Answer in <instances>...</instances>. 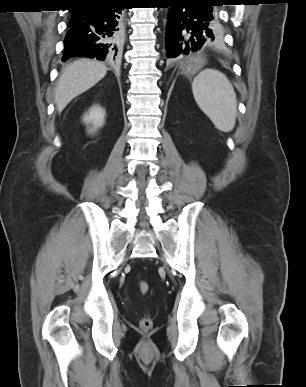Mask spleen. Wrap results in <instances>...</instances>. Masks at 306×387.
Instances as JSON below:
<instances>
[{"mask_svg":"<svg viewBox=\"0 0 306 387\" xmlns=\"http://www.w3.org/2000/svg\"><path fill=\"white\" fill-rule=\"evenodd\" d=\"M196 103L222 132L233 130L237 116V99L227 77L214 69H204L193 80Z\"/></svg>","mask_w":306,"mask_h":387,"instance_id":"obj_1","label":"spleen"}]
</instances>
